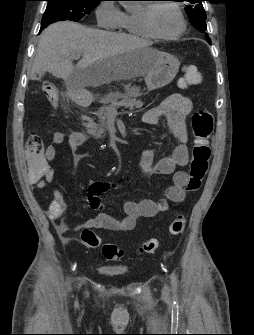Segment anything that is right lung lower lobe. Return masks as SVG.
I'll return each instance as SVG.
<instances>
[{
    "label": "right lung lower lobe",
    "instance_id": "1",
    "mask_svg": "<svg viewBox=\"0 0 254 335\" xmlns=\"http://www.w3.org/2000/svg\"><path fill=\"white\" fill-rule=\"evenodd\" d=\"M48 25H41V28H40V32L44 29V28H46Z\"/></svg>",
    "mask_w": 254,
    "mask_h": 335
}]
</instances>
